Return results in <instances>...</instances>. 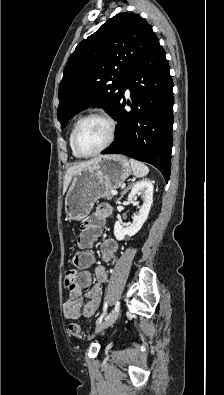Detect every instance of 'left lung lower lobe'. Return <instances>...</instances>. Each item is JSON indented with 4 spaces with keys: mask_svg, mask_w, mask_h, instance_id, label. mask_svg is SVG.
<instances>
[{
    "mask_svg": "<svg viewBox=\"0 0 224 395\" xmlns=\"http://www.w3.org/2000/svg\"><path fill=\"white\" fill-rule=\"evenodd\" d=\"M166 53L157 40L129 74L131 111L122 98L112 118L116 141L103 154L121 153L155 166L169 180L173 146V82Z\"/></svg>",
    "mask_w": 224,
    "mask_h": 395,
    "instance_id": "0a47b994",
    "label": "left lung lower lobe"
}]
</instances>
